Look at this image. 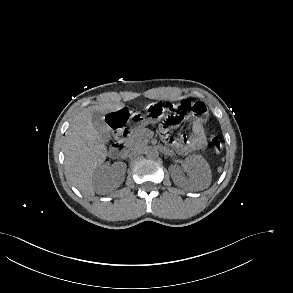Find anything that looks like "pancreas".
<instances>
[{"label":"pancreas","mask_w":293,"mask_h":293,"mask_svg":"<svg viewBox=\"0 0 293 293\" xmlns=\"http://www.w3.org/2000/svg\"><path fill=\"white\" fill-rule=\"evenodd\" d=\"M152 134V131L148 128H138L128 138L127 143L129 144V146L142 147L149 142Z\"/></svg>","instance_id":"pancreas-1"}]
</instances>
